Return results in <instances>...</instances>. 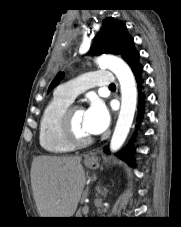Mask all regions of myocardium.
I'll return each mask as SVG.
<instances>
[{
	"mask_svg": "<svg viewBox=\"0 0 181 227\" xmlns=\"http://www.w3.org/2000/svg\"><path fill=\"white\" fill-rule=\"evenodd\" d=\"M82 106L70 104L62 114L61 130L66 140L74 147H84L93 142L92 136H80L74 128L73 114L76 110H82Z\"/></svg>",
	"mask_w": 181,
	"mask_h": 227,
	"instance_id": "1",
	"label": "myocardium"
}]
</instances>
